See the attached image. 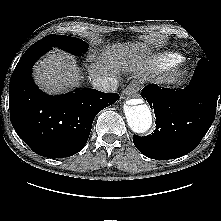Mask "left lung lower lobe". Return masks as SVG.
Wrapping results in <instances>:
<instances>
[{
	"label": "left lung lower lobe",
	"instance_id": "obj_1",
	"mask_svg": "<svg viewBox=\"0 0 221 221\" xmlns=\"http://www.w3.org/2000/svg\"><path fill=\"white\" fill-rule=\"evenodd\" d=\"M141 96L154 108L156 129L149 136H133L137 149L156 160L182 157L198 146L214 121L221 103V69L197 66L184 89L150 84Z\"/></svg>",
	"mask_w": 221,
	"mask_h": 221
}]
</instances>
